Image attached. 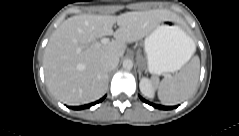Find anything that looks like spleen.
<instances>
[{
  "instance_id": "obj_1",
  "label": "spleen",
  "mask_w": 239,
  "mask_h": 136,
  "mask_svg": "<svg viewBox=\"0 0 239 136\" xmlns=\"http://www.w3.org/2000/svg\"><path fill=\"white\" fill-rule=\"evenodd\" d=\"M195 51V44L192 41L191 54ZM200 73V61L194 57L178 74L166 76L161 82L153 77L155 86L158 89V98L165 105H175L187 99L196 89Z\"/></svg>"
}]
</instances>
